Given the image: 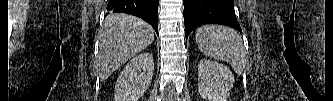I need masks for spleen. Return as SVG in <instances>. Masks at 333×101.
<instances>
[{
    "label": "spleen",
    "mask_w": 333,
    "mask_h": 101,
    "mask_svg": "<svg viewBox=\"0 0 333 101\" xmlns=\"http://www.w3.org/2000/svg\"><path fill=\"white\" fill-rule=\"evenodd\" d=\"M195 38L204 55L229 63L238 74L245 69L247 53L241 37L234 29L205 25L198 28Z\"/></svg>",
    "instance_id": "3e777b00"
}]
</instances>
